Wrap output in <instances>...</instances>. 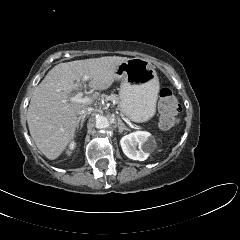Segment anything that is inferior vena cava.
Segmentation results:
<instances>
[{
  "mask_svg": "<svg viewBox=\"0 0 240 240\" xmlns=\"http://www.w3.org/2000/svg\"><path fill=\"white\" fill-rule=\"evenodd\" d=\"M92 109L87 107V108H84L82 109L80 112H79V117H83V116H86L88 115L89 113H91Z\"/></svg>",
  "mask_w": 240,
  "mask_h": 240,
  "instance_id": "obj_1",
  "label": "inferior vena cava"
}]
</instances>
